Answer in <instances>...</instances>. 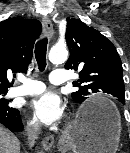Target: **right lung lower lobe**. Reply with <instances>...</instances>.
I'll use <instances>...</instances> for the list:
<instances>
[{
  "label": "right lung lower lobe",
  "instance_id": "right-lung-lower-lobe-1",
  "mask_svg": "<svg viewBox=\"0 0 130 153\" xmlns=\"http://www.w3.org/2000/svg\"><path fill=\"white\" fill-rule=\"evenodd\" d=\"M0 123L12 132L22 131L23 129L20 112L14 108L0 106Z\"/></svg>",
  "mask_w": 130,
  "mask_h": 153
}]
</instances>
